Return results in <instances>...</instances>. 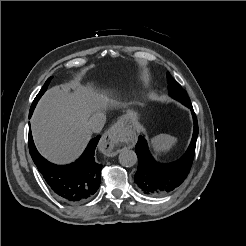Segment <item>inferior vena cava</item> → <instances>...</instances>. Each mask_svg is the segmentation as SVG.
I'll list each match as a JSON object with an SVG mask.
<instances>
[{"mask_svg": "<svg viewBox=\"0 0 246 246\" xmlns=\"http://www.w3.org/2000/svg\"><path fill=\"white\" fill-rule=\"evenodd\" d=\"M105 124V116L102 113L94 114L88 121V127L90 131L99 133Z\"/></svg>", "mask_w": 246, "mask_h": 246, "instance_id": "602c4592", "label": "inferior vena cava"}]
</instances>
